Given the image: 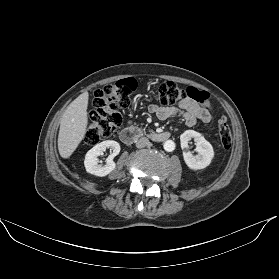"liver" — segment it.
<instances>
[{
	"mask_svg": "<svg viewBox=\"0 0 279 279\" xmlns=\"http://www.w3.org/2000/svg\"><path fill=\"white\" fill-rule=\"evenodd\" d=\"M88 92L80 94L60 119L58 150L62 158H69L84 139L88 124Z\"/></svg>",
	"mask_w": 279,
	"mask_h": 279,
	"instance_id": "obj_1",
	"label": "liver"
}]
</instances>
